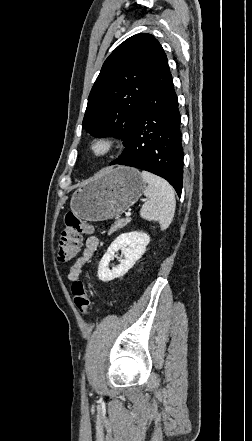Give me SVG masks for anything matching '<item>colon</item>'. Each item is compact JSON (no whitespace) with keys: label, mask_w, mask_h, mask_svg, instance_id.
Returning a JSON list of instances; mask_svg holds the SVG:
<instances>
[{"label":"colon","mask_w":252,"mask_h":441,"mask_svg":"<svg viewBox=\"0 0 252 441\" xmlns=\"http://www.w3.org/2000/svg\"><path fill=\"white\" fill-rule=\"evenodd\" d=\"M65 228L63 229L58 244V260L60 262L70 261L77 253L84 234H91L92 225L72 213H67L64 218ZM73 301L77 309L86 313L90 306V298L84 282L76 279L72 284Z\"/></svg>","instance_id":"5ec220e1"}]
</instances>
